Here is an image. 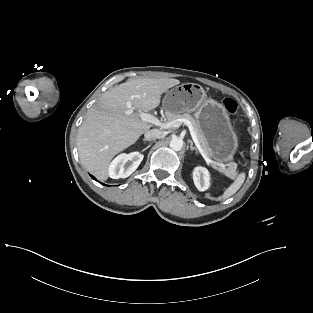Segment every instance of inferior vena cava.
<instances>
[{
	"instance_id": "inferior-vena-cava-1",
	"label": "inferior vena cava",
	"mask_w": 313,
	"mask_h": 313,
	"mask_svg": "<svg viewBox=\"0 0 313 313\" xmlns=\"http://www.w3.org/2000/svg\"><path fill=\"white\" fill-rule=\"evenodd\" d=\"M166 135L165 131H161L158 129H152L148 132L145 133V139L151 141V140H155V139H162L164 138Z\"/></svg>"
}]
</instances>
